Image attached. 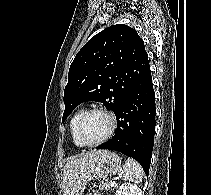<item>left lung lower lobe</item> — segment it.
Returning <instances> with one entry per match:
<instances>
[{"mask_svg": "<svg viewBox=\"0 0 211 195\" xmlns=\"http://www.w3.org/2000/svg\"><path fill=\"white\" fill-rule=\"evenodd\" d=\"M155 114V93L148 66L115 113V135L97 148L115 150L134 158L148 175L154 144Z\"/></svg>", "mask_w": 211, "mask_h": 195, "instance_id": "1", "label": "left lung lower lobe"}]
</instances>
